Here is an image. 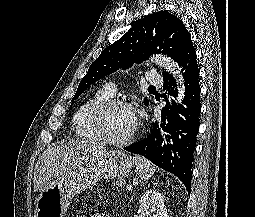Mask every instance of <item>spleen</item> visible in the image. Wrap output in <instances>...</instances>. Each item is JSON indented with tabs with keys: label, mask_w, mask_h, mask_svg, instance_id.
Listing matches in <instances>:
<instances>
[{
	"label": "spleen",
	"mask_w": 255,
	"mask_h": 217,
	"mask_svg": "<svg viewBox=\"0 0 255 217\" xmlns=\"http://www.w3.org/2000/svg\"><path fill=\"white\" fill-rule=\"evenodd\" d=\"M132 160L141 180H147L154 174L155 167L146 158L142 156H134Z\"/></svg>",
	"instance_id": "spleen-1"
}]
</instances>
